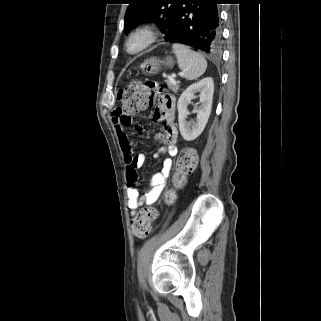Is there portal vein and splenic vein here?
<instances>
[{"label": "portal vein and splenic vein", "instance_id": "portal-vein-and-splenic-vein-1", "mask_svg": "<svg viewBox=\"0 0 321 321\" xmlns=\"http://www.w3.org/2000/svg\"><path fill=\"white\" fill-rule=\"evenodd\" d=\"M169 80L173 81V77L167 76Z\"/></svg>", "mask_w": 321, "mask_h": 321}]
</instances>
